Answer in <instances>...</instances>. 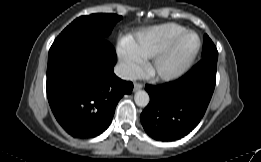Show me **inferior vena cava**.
Instances as JSON below:
<instances>
[{"label": "inferior vena cava", "instance_id": "inferior-vena-cava-1", "mask_svg": "<svg viewBox=\"0 0 261 162\" xmlns=\"http://www.w3.org/2000/svg\"><path fill=\"white\" fill-rule=\"evenodd\" d=\"M114 72L119 78L123 80L135 81L137 79V75L134 69L125 63L116 65Z\"/></svg>", "mask_w": 261, "mask_h": 162}]
</instances>
